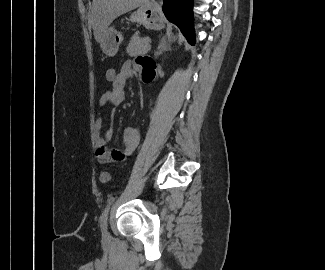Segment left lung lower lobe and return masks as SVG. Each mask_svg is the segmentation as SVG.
<instances>
[{"mask_svg": "<svg viewBox=\"0 0 325 270\" xmlns=\"http://www.w3.org/2000/svg\"><path fill=\"white\" fill-rule=\"evenodd\" d=\"M166 18L176 24L189 43H195L192 0H163Z\"/></svg>", "mask_w": 325, "mask_h": 270, "instance_id": "obj_1", "label": "left lung lower lobe"}]
</instances>
